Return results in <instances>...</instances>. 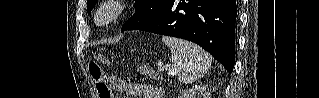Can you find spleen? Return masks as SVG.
Returning a JSON list of instances; mask_svg holds the SVG:
<instances>
[{
  "label": "spleen",
  "mask_w": 319,
  "mask_h": 98,
  "mask_svg": "<svg viewBox=\"0 0 319 98\" xmlns=\"http://www.w3.org/2000/svg\"><path fill=\"white\" fill-rule=\"evenodd\" d=\"M171 50L172 70L178 73L181 83L199 80L208 71L212 59L200 46L172 37H162Z\"/></svg>",
  "instance_id": "1"
}]
</instances>
